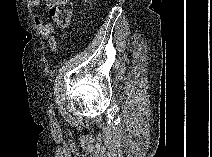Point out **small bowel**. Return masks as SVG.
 Segmentation results:
<instances>
[{"label":"small bowel","mask_w":212,"mask_h":157,"mask_svg":"<svg viewBox=\"0 0 212 157\" xmlns=\"http://www.w3.org/2000/svg\"><path fill=\"white\" fill-rule=\"evenodd\" d=\"M42 4L41 0H30L28 2V5L30 7H39ZM34 23L38 30L40 31L43 38L48 42L49 47L51 50L57 49V41L55 37L53 36L54 32V26L52 23H44L40 16L36 15L34 16Z\"/></svg>","instance_id":"obj_1"}]
</instances>
